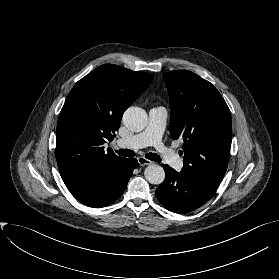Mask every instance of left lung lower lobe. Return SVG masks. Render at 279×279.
I'll list each match as a JSON object with an SVG mask.
<instances>
[{"instance_id": "left-lung-lower-lobe-1", "label": "left lung lower lobe", "mask_w": 279, "mask_h": 279, "mask_svg": "<svg viewBox=\"0 0 279 279\" xmlns=\"http://www.w3.org/2000/svg\"><path fill=\"white\" fill-rule=\"evenodd\" d=\"M165 180L156 189L155 194L160 203L174 213H187L206 203L217 188L203 181L178 173L164 165Z\"/></svg>"}]
</instances>
